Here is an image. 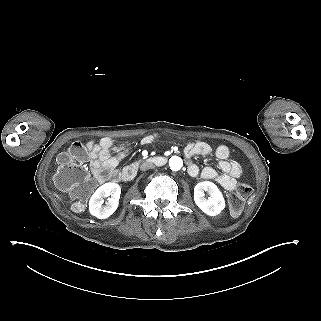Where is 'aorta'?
Listing matches in <instances>:
<instances>
[{
  "mask_svg": "<svg viewBox=\"0 0 321 321\" xmlns=\"http://www.w3.org/2000/svg\"><path fill=\"white\" fill-rule=\"evenodd\" d=\"M169 166L173 171L180 170L181 167L183 166V161L180 157L173 156L169 159Z\"/></svg>",
  "mask_w": 321,
  "mask_h": 321,
  "instance_id": "obj_1",
  "label": "aorta"
}]
</instances>
